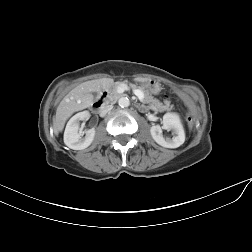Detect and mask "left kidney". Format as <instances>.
I'll return each instance as SVG.
<instances>
[{"mask_svg":"<svg viewBox=\"0 0 252 252\" xmlns=\"http://www.w3.org/2000/svg\"><path fill=\"white\" fill-rule=\"evenodd\" d=\"M163 129L173 131L172 138L163 137ZM150 133L155 142L165 148H177L185 141V133L180 118L175 113H166L163 116V126L153 125Z\"/></svg>","mask_w":252,"mask_h":252,"instance_id":"obj_1","label":"left kidney"}]
</instances>
